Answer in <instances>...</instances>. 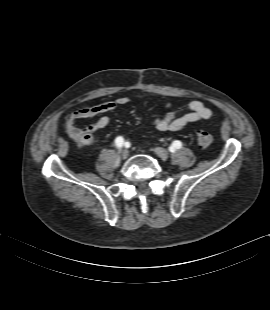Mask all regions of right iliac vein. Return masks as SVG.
<instances>
[{
	"mask_svg": "<svg viewBox=\"0 0 270 310\" xmlns=\"http://www.w3.org/2000/svg\"><path fill=\"white\" fill-rule=\"evenodd\" d=\"M128 155H129L128 150H127V149H124V150L122 151V158H123V159H126V158L128 157Z\"/></svg>",
	"mask_w": 270,
	"mask_h": 310,
	"instance_id": "right-iliac-vein-1",
	"label": "right iliac vein"
}]
</instances>
